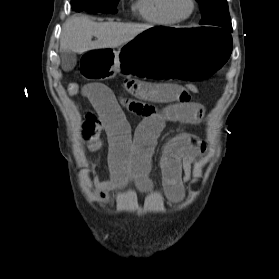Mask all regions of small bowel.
<instances>
[{
  "mask_svg": "<svg viewBox=\"0 0 279 279\" xmlns=\"http://www.w3.org/2000/svg\"><path fill=\"white\" fill-rule=\"evenodd\" d=\"M125 87L138 105L120 102L102 83L87 84L81 92L92 108L82 125L89 149L101 151L104 143L100 134L105 132L108 136L110 178L103 181L93 177L95 194L103 202L108 200L110 191L131 180L143 190L151 189V158L166 124H199L205 113L201 104L181 95L183 87L177 84H153L127 77ZM151 103L166 106L159 108ZM124 109L142 118L133 136ZM205 149L204 142L189 133H182L166 144L160 166L164 192L170 201L179 202L184 198V186L191 179L192 166Z\"/></svg>",
  "mask_w": 279,
  "mask_h": 279,
  "instance_id": "small-bowel-1",
  "label": "small bowel"
}]
</instances>
